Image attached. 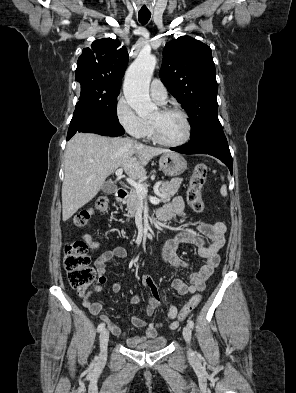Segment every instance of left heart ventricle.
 Returning a JSON list of instances; mask_svg holds the SVG:
<instances>
[{"instance_id": "obj_1", "label": "left heart ventricle", "mask_w": 296, "mask_h": 393, "mask_svg": "<svg viewBox=\"0 0 296 393\" xmlns=\"http://www.w3.org/2000/svg\"><path fill=\"white\" fill-rule=\"evenodd\" d=\"M158 129L159 136L167 142L181 140L186 133L183 117L177 113L162 114L158 110L151 118Z\"/></svg>"}]
</instances>
